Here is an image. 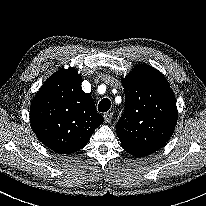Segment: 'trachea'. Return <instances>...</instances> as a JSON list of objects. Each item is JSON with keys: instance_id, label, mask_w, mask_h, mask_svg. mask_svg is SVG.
<instances>
[{"instance_id": "1", "label": "trachea", "mask_w": 206, "mask_h": 206, "mask_svg": "<svg viewBox=\"0 0 206 206\" xmlns=\"http://www.w3.org/2000/svg\"><path fill=\"white\" fill-rule=\"evenodd\" d=\"M111 107V101L108 98H104L100 101L98 105L99 112H107Z\"/></svg>"}]
</instances>
